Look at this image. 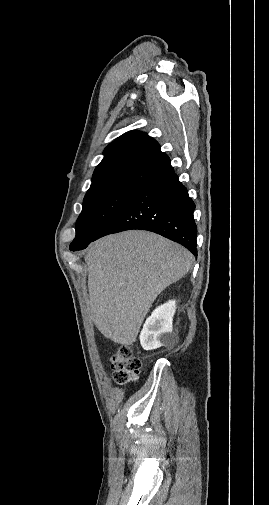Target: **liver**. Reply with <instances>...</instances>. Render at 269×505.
<instances>
[{
    "label": "liver",
    "mask_w": 269,
    "mask_h": 505,
    "mask_svg": "<svg viewBox=\"0 0 269 505\" xmlns=\"http://www.w3.org/2000/svg\"><path fill=\"white\" fill-rule=\"evenodd\" d=\"M89 307L98 330L129 346L156 297L191 268L193 255L155 233L130 230L90 244Z\"/></svg>",
    "instance_id": "6515ba94"
}]
</instances>
